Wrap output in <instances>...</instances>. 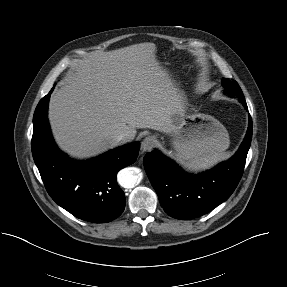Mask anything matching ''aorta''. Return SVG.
Segmentation results:
<instances>
[{"instance_id": "1", "label": "aorta", "mask_w": 287, "mask_h": 287, "mask_svg": "<svg viewBox=\"0 0 287 287\" xmlns=\"http://www.w3.org/2000/svg\"><path fill=\"white\" fill-rule=\"evenodd\" d=\"M118 181L124 188H133L139 182V175L133 168H126L119 172Z\"/></svg>"}]
</instances>
